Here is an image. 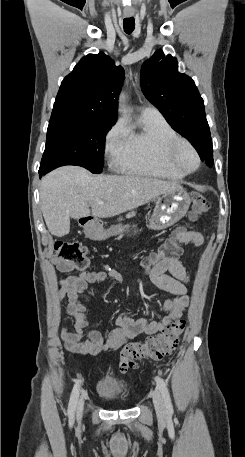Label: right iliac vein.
<instances>
[{
	"instance_id": "right-iliac-vein-1",
	"label": "right iliac vein",
	"mask_w": 245,
	"mask_h": 457,
	"mask_svg": "<svg viewBox=\"0 0 245 457\" xmlns=\"http://www.w3.org/2000/svg\"><path fill=\"white\" fill-rule=\"evenodd\" d=\"M83 408H84V399L81 398L79 403H78V406H77V417L80 419L82 417V414H83Z\"/></svg>"
}]
</instances>
